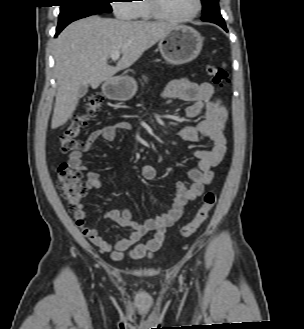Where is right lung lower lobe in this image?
<instances>
[{
    "label": "right lung lower lobe",
    "mask_w": 304,
    "mask_h": 329,
    "mask_svg": "<svg viewBox=\"0 0 304 329\" xmlns=\"http://www.w3.org/2000/svg\"><path fill=\"white\" fill-rule=\"evenodd\" d=\"M63 29H64V27L57 28L55 36H57Z\"/></svg>",
    "instance_id": "right-lung-lower-lobe-1"
}]
</instances>
